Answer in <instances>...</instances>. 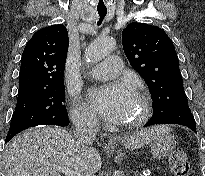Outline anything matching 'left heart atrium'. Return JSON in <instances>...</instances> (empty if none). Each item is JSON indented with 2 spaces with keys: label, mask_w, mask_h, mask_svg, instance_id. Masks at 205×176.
Segmentation results:
<instances>
[{
  "label": "left heart atrium",
  "mask_w": 205,
  "mask_h": 176,
  "mask_svg": "<svg viewBox=\"0 0 205 176\" xmlns=\"http://www.w3.org/2000/svg\"><path fill=\"white\" fill-rule=\"evenodd\" d=\"M135 98L132 84L111 83L89 92L93 108L110 121L120 120Z\"/></svg>",
  "instance_id": "1"
}]
</instances>
